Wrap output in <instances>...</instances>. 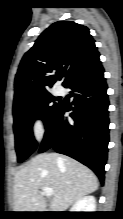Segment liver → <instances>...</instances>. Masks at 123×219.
<instances>
[{
    "mask_svg": "<svg viewBox=\"0 0 123 219\" xmlns=\"http://www.w3.org/2000/svg\"><path fill=\"white\" fill-rule=\"evenodd\" d=\"M97 176L78 161L57 153L39 154L14 177V212H45L43 187L53 190L51 210L63 212L96 191Z\"/></svg>",
    "mask_w": 123,
    "mask_h": 219,
    "instance_id": "obj_1",
    "label": "liver"
}]
</instances>
